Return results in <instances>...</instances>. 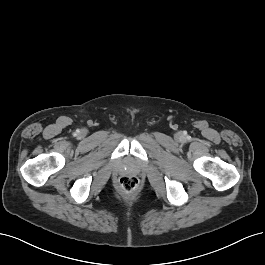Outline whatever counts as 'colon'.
I'll use <instances>...</instances> for the list:
<instances>
[{
  "label": "colon",
  "instance_id": "5ec220e1",
  "mask_svg": "<svg viewBox=\"0 0 265 265\" xmlns=\"http://www.w3.org/2000/svg\"><path fill=\"white\" fill-rule=\"evenodd\" d=\"M120 186L126 191H133L137 188L138 181L133 176H123L119 180Z\"/></svg>",
  "mask_w": 265,
  "mask_h": 265
}]
</instances>
